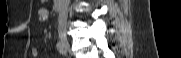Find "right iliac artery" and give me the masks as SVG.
<instances>
[{
	"label": "right iliac artery",
	"mask_w": 181,
	"mask_h": 58,
	"mask_svg": "<svg viewBox=\"0 0 181 58\" xmlns=\"http://www.w3.org/2000/svg\"><path fill=\"white\" fill-rule=\"evenodd\" d=\"M56 47H57V50L59 51V53H61L63 55L66 53L65 47L63 46V44L61 42H58Z\"/></svg>",
	"instance_id": "right-iliac-artery-1"
}]
</instances>
